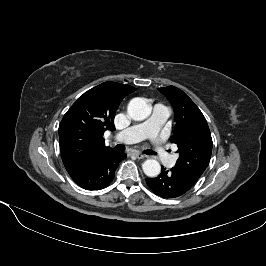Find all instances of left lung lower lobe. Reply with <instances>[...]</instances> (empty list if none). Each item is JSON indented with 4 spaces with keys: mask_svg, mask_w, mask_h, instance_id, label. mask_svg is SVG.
<instances>
[{
    "mask_svg": "<svg viewBox=\"0 0 266 266\" xmlns=\"http://www.w3.org/2000/svg\"><path fill=\"white\" fill-rule=\"evenodd\" d=\"M148 187L162 198H176L191 189V186L171 171L162 167L161 174L156 178H146Z\"/></svg>",
    "mask_w": 266,
    "mask_h": 266,
    "instance_id": "left-lung-lower-lobe-1",
    "label": "left lung lower lobe"
}]
</instances>
